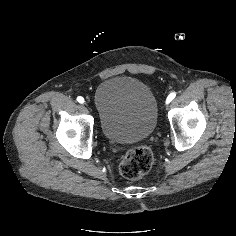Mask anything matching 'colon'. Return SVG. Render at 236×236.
<instances>
[{
	"label": "colon",
	"instance_id": "1",
	"mask_svg": "<svg viewBox=\"0 0 236 236\" xmlns=\"http://www.w3.org/2000/svg\"><path fill=\"white\" fill-rule=\"evenodd\" d=\"M154 155L145 145L131 148L120 163V173L129 180H137L152 167Z\"/></svg>",
	"mask_w": 236,
	"mask_h": 236
}]
</instances>
